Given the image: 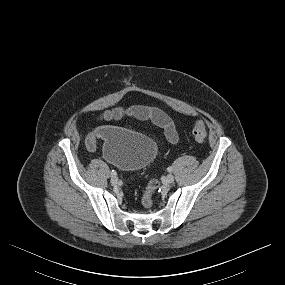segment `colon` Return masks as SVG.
<instances>
[{
  "label": "colon",
  "instance_id": "1",
  "mask_svg": "<svg viewBox=\"0 0 285 285\" xmlns=\"http://www.w3.org/2000/svg\"><path fill=\"white\" fill-rule=\"evenodd\" d=\"M192 136L195 141L201 143L206 139V126L202 120H197L193 123ZM158 187V181L153 179L149 182L147 189L143 195L142 203L144 207L149 208L152 205V194Z\"/></svg>",
  "mask_w": 285,
  "mask_h": 285
}]
</instances>
